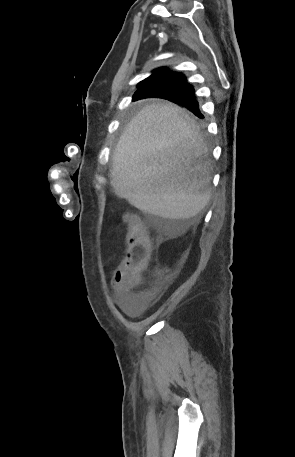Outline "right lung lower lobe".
Wrapping results in <instances>:
<instances>
[{"label": "right lung lower lobe", "instance_id": "obj_1", "mask_svg": "<svg viewBox=\"0 0 295 457\" xmlns=\"http://www.w3.org/2000/svg\"><path fill=\"white\" fill-rule=\"evenodd\" d=\"M185 79L186 78L184 75L179 74V76L176 79H174L170 82L138 89L136 91V93L134 94L133 99L138 100V99L148 98V97H159V96H157L158 90L173 89L178 94L171 96L170 98H166V99L172 100L174 102H177V103L187 107L195 115H197L200 118H203L202 114L199 111L198 102L196 101L195 96H194V88L190 84H188L185 81Z\"/></svg>", "mask_w": 295, "mask_h": 457}]
</instances>
